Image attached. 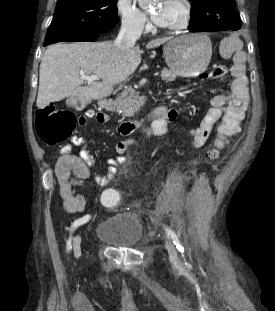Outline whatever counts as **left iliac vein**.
I'll return each instance as SVG.
<instances>
[{
    "mask_svg": "<svg viewBox=\"0 0 275 311\" xmlns=\"http://www.w3.org/2000/svg\"><path fill=\"white\" fill-rule=\"evenodd\" d=\"M166 249H167L168 254H169L170 262L174 266H176L178 268H182L183 263L178 256V253H177V250H176L174 244L169 239H166Z\"/></svg>",
    "mask_w": 275,
    "mask_h": 311,
    "instance_id": "left-iliac-vein-1",
    "label": "left iliac vein"
}]
</instances>
